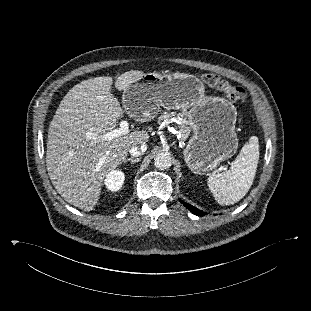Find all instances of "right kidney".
<instances>
[{
    "label": "right kidney",
    "mask_w": 311,
    "mask_h": 311,
    "mask_svg": "<svg viewBox=\"0 0 311 311\" xmlns=\"http://www.w3.org/2000/svg\"><path fill=\"white\" fill-rule=\"evenodd\" d=\"M125 180V175L121 170L110 171L104 180L106 189L111 192H116L121 189Z\"/></svg>",
    "instance_id": "1"
}]
</instances>
